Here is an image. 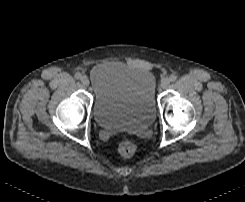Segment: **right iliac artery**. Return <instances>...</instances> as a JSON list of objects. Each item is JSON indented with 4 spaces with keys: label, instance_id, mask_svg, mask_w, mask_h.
Segmentation results:
<instances>
[{
    "label": "right iliac artery",
    "instance_id": "right-iliac-artery-1",
    "mask_svg": "<svg viewBox=\"0 0 245 202\" xmlns=\"http://www.w3.org/2000/svg\"><path fill=\"white\" fill-rule=\"evenodd\" d=\"M75 78H76V79H80V78H81V74H80V73H76V74H75Z\"/></svg>",
    "mask_w": 245,
    "mask_h": 202
}]
</instances>
